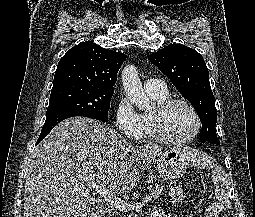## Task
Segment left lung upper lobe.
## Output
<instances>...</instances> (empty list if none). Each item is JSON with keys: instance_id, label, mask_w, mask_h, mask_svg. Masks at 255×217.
I'll use <instances>...</instances> for the list:
<instances>
[{"instance_id": "1", "label": "left lung upper lobe", "mask_w": 255, "mask_h": 217, "mask_svg": "<svg viewBox=\"0 0 255 217\" xmlns=\"http://www.w3.org/2000/svg\"><path fill=\"white\" fill-rule=\"evenodd\" d=\"M148 59L161 70L195 108L202 121L201 142L220 145L215 125L217 111L203 57L182 44H171Z\"/></svg>"}]
</instances>
